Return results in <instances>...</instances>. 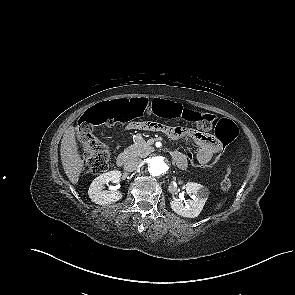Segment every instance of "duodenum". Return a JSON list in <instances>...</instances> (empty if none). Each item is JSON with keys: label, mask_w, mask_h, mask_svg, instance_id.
Returning <instances> with one entry per match:
<instances>
[{"label": "duodenum", "mask_w": 295, "mask_h": 295, "mask_svg": "<svg viewBox=\"0 0 295 295\" xmlns=\"http://www.w3.org/2000/svg\"><path fill=\"white\" fill-rule=\"evenodd\" d=\"M172 157L174 159V161H178L179 157L176 153H172ZM130 160V155L126 152H122L118 155L117 159H116V163L118 166L122 167L124 165H126Z\"/></svg>", "instance_id": "1"}]
</instances>
